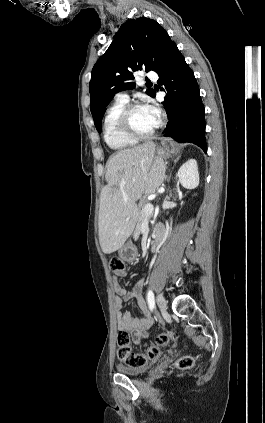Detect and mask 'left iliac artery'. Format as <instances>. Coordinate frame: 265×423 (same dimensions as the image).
<instances>
[{"instance_id": "1", "label": "left iliac artery", "mask_w": 265, "mask_h": 423, "mask_svg": "<svg viewBox=\"0 0 265 423\" xmlns=\"http://www.w3.org/2000/svg\"><path fill=\"white\" fill-rule=\"evenodd\" d=\"M147 301H148L149 308L152 311L155 306L154 293L152 290H149L147 293Z\"/></svg>"}]
</instances>
